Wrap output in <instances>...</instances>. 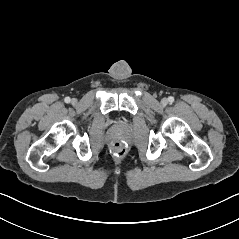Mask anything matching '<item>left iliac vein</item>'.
Masks as SVG:
<instances>
[{
	"instance_id": "1",
	"label": "left iliac vein",
	"mask_w": 239,
	"mask_h": 239,
	"mask_svg": "<svg viewBox=\"0 0 239 239\" xmlns=\"http://www.w3.org/2000/svg\"><path fill=\"white\" fill-rule=\"evenodd\" d=\"M162 104H167V99H163Z\"/></svg>"
}]
</instances>
